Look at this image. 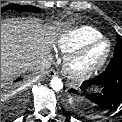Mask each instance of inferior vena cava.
Masks as SVG:
<instances>
[{
  "label": "inferior vena cava",
  "instance_id": "inferior-vena-cava-1",
  "mask_svg": "<svg viewBox=\"0 0 122 122\" xmlns=\"http://www.w3.org/2000/svg\"><path fill=\"white\" fill-rule=\"evenodd\" d=\"M50 68V62L48 59H42L35 63V65L32 67V70L36 72H45Z\"/></svg>",
  "mask_w": 122,
  "mask_h": 122
}]
</instances>
